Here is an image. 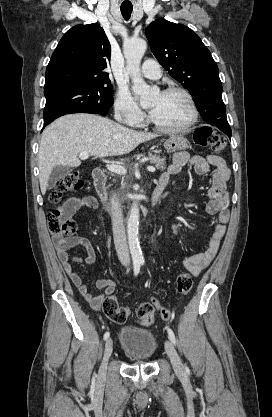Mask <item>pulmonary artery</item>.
Returning <instances> with one entry per match:
<instances>
[{"mask_svg":"<svg viewBox=\"0 0 272 417\" xmlns=\"http://www.w3.org/2000/svg\"><path fill=\"white\" fill-rule=\"evenodd\" d=\"M141 74L143 77L151 80H157L162 75L160 65L153 59H147L143 63Z\"/></svg>","mask_w":272,"mask_h":417,"instance_id":"obj_1","label":"pulmonary artery"}]
</instances>
